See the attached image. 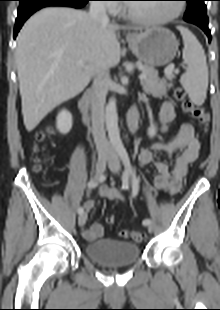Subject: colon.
<instances>
[{
	"mask_svg": "<svg viewBox=\"0 0 220 310\" xmlns=\"http://www.w3.org/2000/svg\"><path fill=\"white\" fill-rule=\"evenodd\" d=\"M175 98L181 102L184 111L189 113L195 120H197L201 125L207 126L209 123V113L207 110L198 104H195L190 99L187 98L186 92L182 88H177L175 90ZM52 129L48 128L45 131L38 133L37 139L42 140L47 134L52 133ZM108 224H113L115 222V216L110 215L106 219ZM119 235L122 238H129L134 242H141L144 239V234L139 231L121 230Z\"/></svg>",
	"mask_w": 220,
	"mask_h": 310,
	"instance_id": "1",
	"label": "colon"
}]
</instances>
